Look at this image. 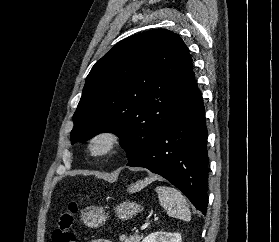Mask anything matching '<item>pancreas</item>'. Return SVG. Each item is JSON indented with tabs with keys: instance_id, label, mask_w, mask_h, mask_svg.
Masks as SVG:
<instances>
[{
	"instance_id": "1",
	"label": "pancreas",
	"mask_w": 279,
	"mask_h": 242,
	"mask_svg": "<svg viewBox=\"0 0 279 242\" xmlns=\"http://www.w3.org/2000/svg\"><path fill=\"white\" fill-rule=\"evenodd\" d=\"M142 239L141 235H130L129 237H126L125 235H121L119 237V240L121 242H140V240Z\"/></svg>"
}]
</instances>
